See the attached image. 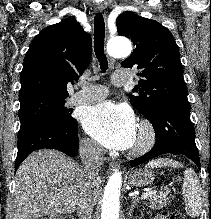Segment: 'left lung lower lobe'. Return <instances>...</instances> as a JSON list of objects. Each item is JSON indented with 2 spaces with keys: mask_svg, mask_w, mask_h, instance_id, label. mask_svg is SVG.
I'll return each instance as SVG.
<instances>
[{
  "mask_svg": "<svg viewBox=\"0 0 211 219\" xmlns=\"http://www.w3.org/2000/svg\"><path fill=\"white\" fill-rule=\"evenodd\" d=\"M147 119L154 127L156 143L148 153L131 161L132 167L159 155L172 153L187 156L200 168L188 102L174 100L162 103Z\"/></svg>",
  "mask_w": 211,
  "mask_h": 219,
  "instance_id": "left-lung-lower-lobe-1",
  "label": "left lung lower lobe"
}]
</instances>
